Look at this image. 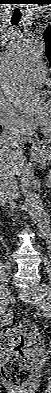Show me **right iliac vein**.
I'll return each instance as SVG.
<instances>
[{
	"label": "right iliac vein",
	"instance_id": "right-iliac-vein-1",
	"mask_svg": "<svg viewBox=\"0 0 51 393\" xmlns=\"http://www.w3.org/2000/svg\"><path fill=\"white\" fill-rule=\"evenodd\" d=\"M10 294H11V289L9 286L4 287L0 293V309L2 311L5 310L7 307Z\"/></svg>",
	"mask_w": 51,
	"mask_h": 393
}]
</instances>
